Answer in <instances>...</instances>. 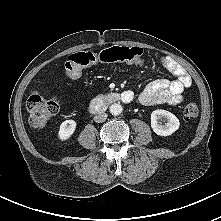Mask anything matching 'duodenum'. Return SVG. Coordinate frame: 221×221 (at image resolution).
Wrapping results in <instances>:
<instances>
[{"instance_id": "410a0bca", "label": "duodenum", "mask_w": 221, "mask_h": 221, "mask_svg": "<svg viewBox=\"0 0 221 221\" xmlns=\"http://www.w3.org/2000/svg\"><path fill=\"white\" fill-rule=\"evenodd\" d=\"M132 100V94L130 92L125 93H109L105 96L93 100L90 104V110L93 113H102L107 107L114 102L128 103Z\"/></svg>"}]
</instances>
